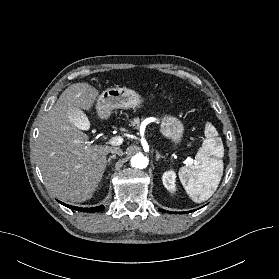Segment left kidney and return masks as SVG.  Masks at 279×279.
<instances>
[{
  "label": "left kidney",
  "mask_w": 279,
  "mask_h": 279,
  "mask_svg": "<svg viewBox=\"0 0 279 279\" xmlns=\"http://www.w3.org/2000/svg\"><path fill=\"white\" fill-rule=\"evenodd\" d=\"M162 182L165 188L174 193L176 191V174L173 170L166 171L162 176Z\"/></svg>",
  "instance_id": "1"
}]
</instances>
